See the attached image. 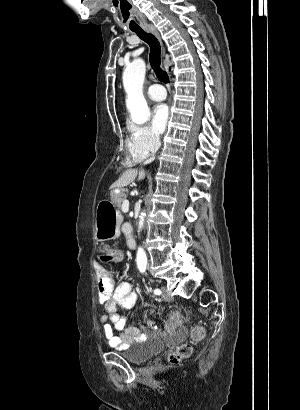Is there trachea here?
<instances>
[{
  "instance_id": "obj_1",
  "label": "trachea",
  "mask_w": 300,
  "mask_h": 410,
  "mask_svg": "<svg viewBox=\"0 0 300 410\" xmlns=\"http://www.w3.org/2000/svg\"><path fill=\"white\" fill-rule=\"evenodd\" d=\"M133 32L139 36L140 39H142L144 42H146L149 47H150V55H149V61L152 69L154 70L158 80H160L163 83H168L169 82V77L168 74L162 70L160 67L161 65V47L158 39L152 34V33H147L143 29H132Z\"/></svg>"
}]
</instances>
